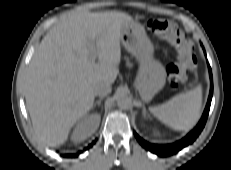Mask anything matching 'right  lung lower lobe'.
<instances>
[{
  "mask_svg": "<svg viewBox=\"0 0 231 170\" xmlns=\"http://www.w3.org/2000/svg\"><path fill=\"white\" fill-rule=\"evenodd\" d=\"M94 143V142H93ZM93 144H91L89 147H91ZM67 157H72V156H75V155H66Z\"/></svg>",
  "mask_w": 231,
  "mask_h": 170,
  "instance_id": "1",
  "label": "right lung lower lobe"
}]
</instances>
